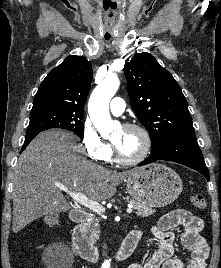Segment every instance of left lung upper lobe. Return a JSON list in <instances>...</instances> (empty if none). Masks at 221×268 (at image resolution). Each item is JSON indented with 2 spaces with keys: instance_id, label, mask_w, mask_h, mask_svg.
I'll use <instances>...</instances> for the list:
<instances>
[{
  "instance_id": "5c2ea615",
  "label": "left lung upper lobe",
  "mask_w": 221,
  "mask_h": 268,
  "mask_svg": "<svg viewBox=\"0 0 221 268\" xmlns=\"http://www.w3.org/2000/svg\"><path fill=\"white\" fill-rule=\"evenodd\" d=\"M131 107L149 132L151 151L171 138L194 134L188 103L173 76L149 53H140L124 69Z\"/></svg>"
}]
</instances>
